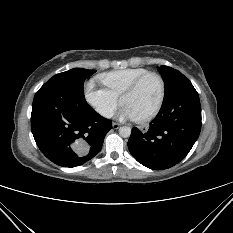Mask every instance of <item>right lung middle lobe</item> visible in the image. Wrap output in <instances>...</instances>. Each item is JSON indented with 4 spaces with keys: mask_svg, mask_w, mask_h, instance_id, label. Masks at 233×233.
Returning a JSON list of instances; mask_svg holds the SVG:
<instances>
[{
    "mask_svg": "<svg viewBox=\"0 0 233 233\" xmlns=\"http://www.w3.org/2000/svg\"><path fill=\"white\" fill-rule=\"evenodd\" d=\"M95 72L96 70L74 68L53 76L47 83H58L84 93V81Z\"/></svg>",
    "mask_w": 233,
    "mask_h": 233,
    "instance_id": "right-lung-middle-lobe-1",
    "label": "right lung middle lobe"
}]
</instances>
